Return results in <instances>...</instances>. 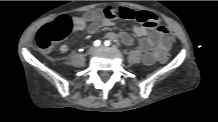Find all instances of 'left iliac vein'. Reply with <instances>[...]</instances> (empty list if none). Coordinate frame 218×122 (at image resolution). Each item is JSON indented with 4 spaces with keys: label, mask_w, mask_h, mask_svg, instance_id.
I'll return each mask as SVG.
<instances>
[{
    "label": "left iliac vein",
    "mask_w": 218,
    "mask_h": 122,
    "mask_svg": "<svg viewBox=\"0 0 218 122\" xmlns=\"http://www.w3.org/2000/svg\"><path fill=\"white\" fill-rule=\"evenodd\" d=\"M105 48V46L104 45H101L98 49H104Z\"/></svg>",
    "instance_id": "obj_1"
}]
</instances>
